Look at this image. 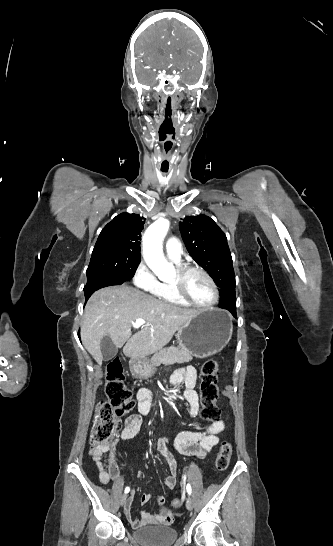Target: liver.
Instances as JSON below:
<instances>
[{
	"instance_id": "obj_1",
	"label": "liver",
	"mask_w": 333,
	"mask_h": 546,
	"mask_svg": "<svg viewBox=\"0 0 333 546\" xmlns=\"http://www.w3.org/2000/svg\"><path fill=\"white\" fill-rule=\"evenodd\" d=\"M199 310L183 309L158 301L131 286H109L96 291L88 300L81 327L86 350L102 365L101 340L108 336L125 356L139 359L167 345L180 326L194 318ZM145 320L141 330L132 335L131 327Z\"/></svg>"
}]
</instances>
